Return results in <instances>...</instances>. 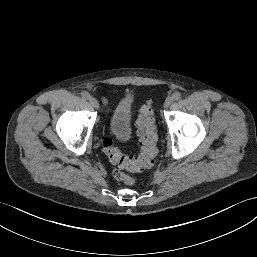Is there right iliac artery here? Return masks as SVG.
<instances>
[{
    "label": "right iliac artery",
    "instance_id": "1",
    "mask_svg": "<svg viewBox=\"0 0 257 257\" xmlns=\"http://www.w3.org/2000/svg\"><path fill=\"white\" fill-rule=\"evenodd\" d=\"M81 95H82V97L84 98V99H90V94L88 93V92H86V91H83L82 93H81Z\"/></svg>",
    "mask_w": 257,
    "mask_h": 257
}]
</instances>
